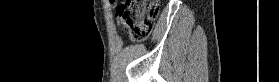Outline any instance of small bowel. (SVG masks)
Masks as SVG:
<instances>
[{"instance_id":"1","label":"small bowel","mask_w":279,"mask_h":82,"mask_svg":"<svg viewBox=\"0 0 279 82\" xmlns=\"http://www.w3.org/2000/svg\"><path fill=\"white\" fill-rule=\"evenodd\" d=\"M109 5L113 8H115L117 6V2L116 1H110Z\"/></svg>"}]
</instances>
